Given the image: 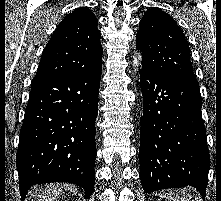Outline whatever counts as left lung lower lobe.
Segmentation results:
<instances>
[{
  "label": "left lung lower lobe",
  "instance_id": "obj_1",
  "mask_svg": "<svg viewBox=\"0 0 221 201\" xmlns=\"http://www.w3.org/2000/svg\"><path fill=\"white\" fill-rule=\"evenodd\" d=\"M140 178L145 193L195 187L205 197L210 158L197 85L142 68Z\"/></svg>",
  "mask_w": 221,
  "mask_h": 201
}]
</instances>
